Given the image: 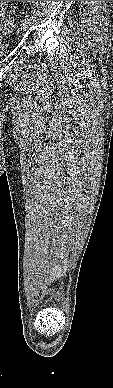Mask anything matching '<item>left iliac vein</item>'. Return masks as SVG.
<instances>
[{"label":"left iliac vein","instance_id":"4c4485c4","mask_svg":"<svg viewBox=\"0 0 113 388\" xmlns=\"http://www.w3.org/2000/svg\"><path fill=\"white\" fill-rule=\"evenodd\" d=\"M28 24H29V22H28V20H23L22 22H21V29L22 30H26L27 28H28Z\"/></svg>","mask_w":113,"mask_h":388}]
</instances>
